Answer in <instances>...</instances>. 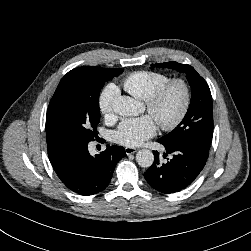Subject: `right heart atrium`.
<instances>
[{"label": "right heart atrium", "mask_w": 251, "mask_h": 251, "mask_svg": "<svg viewBox=\"0 0 251 251\" xmlns=\"http://www.w3.org/2000/svg\"><path fill=\"white\" fill-rule=\"evenodd\" d=\"M118 97V89L114 85L107 86L99 97V109L107 118H114L113 104Z\"/></svg>", "instance_id": "d8ad5b80"}]
</instances>
